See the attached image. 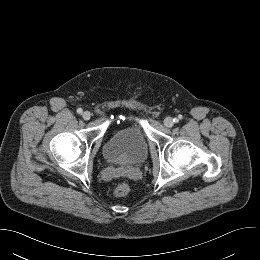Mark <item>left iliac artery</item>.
<instances>
[{
	"instance_id": "1",
	"label": "left iliac artery",
	"mask_w": 260,
	"mask_h": 260,
	"mask_svg": "<svg viewBox=\"0 0 260 260\" xmlns=\"http://www.w3.org/2000/svg\"><path fill=\"white\" fill-rule=\"evenodd\" d=\"M179 119H182V115H179L178 118H174L173 120H174L175 123H177V122H179Z\"/></svg>"
}]
</instances>
